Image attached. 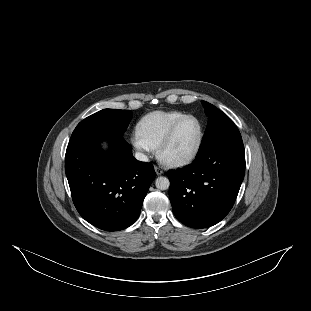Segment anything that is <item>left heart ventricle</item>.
<instances>
[{"label": "left heart ventricle", "instance_id": "1", "mask_svg": "<svg viewBox=\"0 0 311 311\" xmlns=\"http://www.w3.org/2000/svg\"><path fill=\"white\" fill-rule=\"evenodd\" d=\"M199 124L195 119H188L178 129L171 145L164 151V158L175 160L185 158L195 150L199 139Z\"/></svg>", "mask_w": 311, "mask_h": 311}]
</instances>
